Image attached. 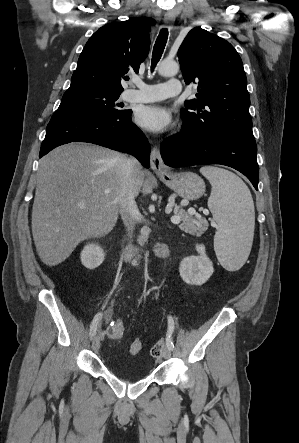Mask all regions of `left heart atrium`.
<instances>
[{"label":"left heart atrium","mask_w":299,"mask_h":443,"mask_svg":"<svg viewBox=\"0 0 299 443\" xmlns=\"http://www.w3.org/2000/svg\"><path fill=\"white\" fill-rule=\"evenodd\" d=\"M135 118L138 125L155 133L168 130L173 123L170 111L159 105L141 107L137 111Z\"/></svg>","instance_id":"left-heart-atrium-1"}]
</instances>
